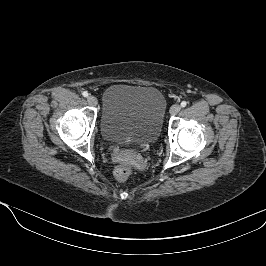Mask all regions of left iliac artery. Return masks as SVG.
<instances>
[{
	"mask_svg": "<svg viewBox=\"0 0 266 266\" xmlns=\"http://www.w3.org/2000/svg\"><path fill=\"white\" fill-rule=\"evenodd\" d=\"M186 105H187V102L186 101H182L181 102V107H186Z\"/></svg>",
	"mask_w": 266,
	"mask_h": 266,
	"instance_id": "left-iliac-artery-1",
	"label": "left iliac artery"
}]
</instances>
